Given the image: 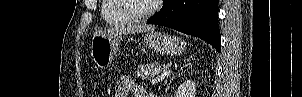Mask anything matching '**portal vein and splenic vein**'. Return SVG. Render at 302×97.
Here are the masks:
<instances>
[{
    "label": "portal vein and splenic vein",
    "instance_id": "1",
    "mask_svg": "<svg viewBox=\"0 0 302 97\" xmlns=\"http://www.w3.org/2000/svg\"><path fill=\"white\" fill-rule=\"evenodd\" d=\"M169 73H171V70H169V69H168V70H165L164 73H163L160 77H161V78H162V77L164 78V77H165L166 75H168ZM154 81H155V80H153V82H154Z\"/></svg>",
    "mask_w": 302,
    "mask_h": 97
}]
</instances>
